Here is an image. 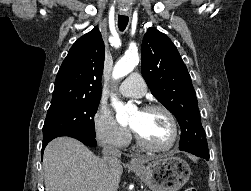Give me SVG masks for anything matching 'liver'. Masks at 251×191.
Returning <instances> with one entry per match:
<instances>
[{"label": "liver", "instance_id": "liver-1", "mask_svg": "<svg viewBox=\"0 0 251 191\" xmlns=\"http://www.w3.org/2000/svg\"><path fill=\"white\" fill-rule=\"evenodd\" d=\"M43 159L46 191H117L123 173L67 135L52 139Z\"/></svg>", "mask_w": 251, "mask_h": 191}]
</instances>
